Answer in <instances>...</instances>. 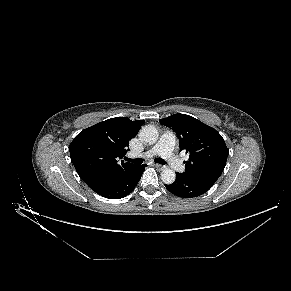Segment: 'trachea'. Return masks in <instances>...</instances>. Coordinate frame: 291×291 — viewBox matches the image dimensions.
<instances>
[{"label": "trachea", "mask_w": 291, "mask_h": 291, "mask_svg": "<svg viewBox=\"0 0 291 291\" xmlns=\"http://www.w3.org/2000/svg\"><path fill=\"white\" fill-rule=\"evenodd\" d=\"M126 161H130V162H132L134 164H142V162H143V160L141 158H136V159H128L127 158ZM154 161L156 163H159V164H162V165L165 164V161L163 159H161V158H155Z\"/></svg>", "instance_id": "3493384b"}]
</instances>
